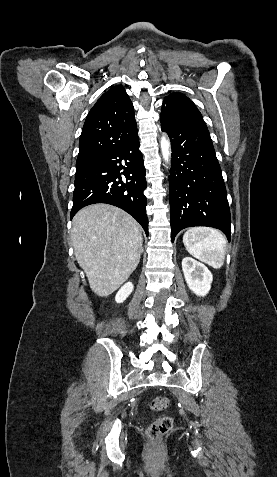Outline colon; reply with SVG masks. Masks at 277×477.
I'll return each instance as SVG.
<instances>
[{
    "mask_svg": "<svg viewBox=\"0 0 277 477\" xmlns=\"http://www.w3.org/2000/svg\"><path fill=\"white\" fill-rule=\"evenodd\" d=\"M169 401L166 397L157 396L150 400L149 407L153 411H162L167 408ZM173 421L170 417L156 419L147 429V436L153 443L161 441L163 436L172 428Z\"/></svg>",
    "mask_w": 277,
    "mask_h": 477,
    "instance_id": "5ec220e1",
    "label": "colon"
}]
</instances>
